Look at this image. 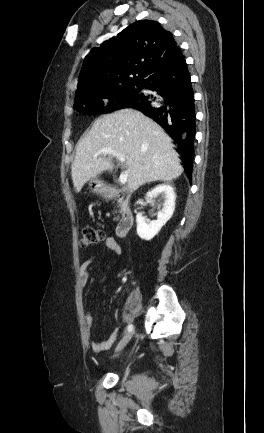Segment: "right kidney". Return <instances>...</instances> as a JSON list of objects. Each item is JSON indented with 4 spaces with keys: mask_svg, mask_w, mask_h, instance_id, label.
<instances>
[{
    "mask_svg": "<svg viewBox=\"0 0 264 433\" xmlns=\"http://www.w3.org/2000/svg\"><path fill=\"white\" fill-rule=\"evenodd\" d=\"M159 195L164 198V204L162 210L158 212L157 220L148 221L142 216V213L136 216L137 234L141 239L151 240L173 215L176 197L174 188L170 184H161L147 193L149 199Z\"/></svg>",
    "mask_w": 264,
    "mask_h": 433,
    "instance_id": "1",
    "label": "right kidney"
}]
</instances>
